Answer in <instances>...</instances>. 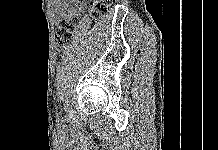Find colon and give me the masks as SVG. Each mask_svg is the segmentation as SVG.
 I'll return each instance as SVG.
<instances>
[{
  "label": "colon",
  "mask_w": 218,
  "mask_h": 150,
  "mask_svg": "<svg viewBox=\"0 0 218 150\" xmlns=\"http://www.w3.org/2000/svg\"><path fill=\"white\" fill-rule=\"evenodd\" d=\"M112 4L113 0H95L91 8L92 17L98 18L102 15H105L110 10ZM75 30V21L71 19L60 21L55 32V46L58 50H62L66 47Z\"/></svg>",
  "instance_id": "1"
}]
</instances>
